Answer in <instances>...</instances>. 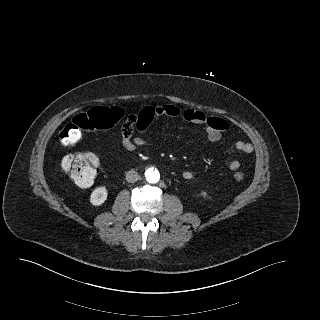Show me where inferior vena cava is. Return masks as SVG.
Masks as SVG:
<instances>
[{
	"instance_id": "602c4592",
	"label": "inferior vena cava",
	"mask_w": 320,
	"mask_h": 320,
	"mask_svg": "<svg viewBox=\"0 0 320 320\" xmlns=\"http://www.w3.org/2000/svg\"><path fill=\"white\" fill-rule=\"evenodd\" d=\"M139 178V174L134 170H130L126 173V180L129 183H135L139 180Z\"/></svg>"
}]
</instances>
